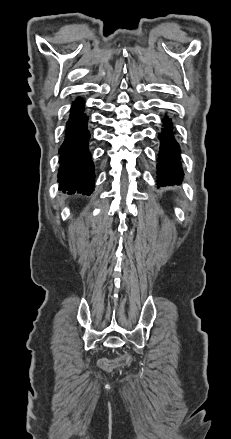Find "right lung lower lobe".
Instances as JSON below:
<instances>
[{"mask_svg":"<svg viewBox=\"0 0 231 439\" xmlns=\"http://www.w3.org/2000/svg\"><path fill=\"white\" fill-rule=\"evenodd\" d=\"M83 111V100L78 98L72 104L65 139L59 149L58 181L62 190L90 195L94 188L95 170L88 149L90 139L87 129L88 118Z\"/></svg>","mask_w":231,"mask_h":439,"instance_id":"obj_1","label":"right lung lower lobe"}]
</instances>
